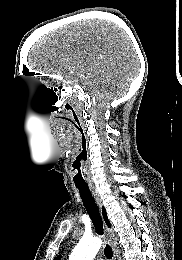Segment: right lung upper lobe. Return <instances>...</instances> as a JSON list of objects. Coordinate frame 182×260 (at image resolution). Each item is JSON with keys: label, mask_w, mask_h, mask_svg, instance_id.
<instances>
[{"label": "right lung upper lobe", "mask_w": 182, "mask_h": 260, "mask_svg": "<svg viewBox=\"0 0 182 260\" xmlns=\"http://www.w3.org/2000/svg\"><path fill=\"white\" fill-rule=\"evenodd\" d=\"M102 214H103V217H104V220H105L106 224L108 225V227H110V224L108 222L107 214H106V211H105L104 207H102ZM55 260H60V256H58Z\"/></svg>", "instance_id": "1"}]
</instances>
